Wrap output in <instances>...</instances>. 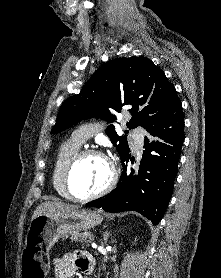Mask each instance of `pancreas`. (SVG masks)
<instances>
[{
  "label": "pancreas",
  "mask_w": 221,
  "mask_h": 278,
  "mask_svg": "<svg viewBox=\"0 0 221 278\" xmlns=\"http://www.w3.org/2000/svg\"><path fill=\"white\" fill-rule=\"evenodd\" d=\"M70 239L75 242L90 243L94 240V236L89 231H85L82 233L74 232L71 233Z\"/></svg>",
  "instance_id": "1"
}]
</instances>
